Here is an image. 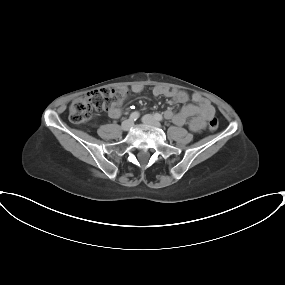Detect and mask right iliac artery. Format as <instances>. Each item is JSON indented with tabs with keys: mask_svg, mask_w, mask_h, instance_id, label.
<instances>
[{
	"mask_svg": "<svg viewBox=\"0 0 285 285\" xmlns=\"http://www.w3.org/2000/svg\"><path fill=\"white\" fill-rule=\"evenodd\" d=\"M140 114L138 112H133L131 115H130V120L132 121H136L138 118H139Z\"/></svg>",
	"mask_w": 285,
	"mask_h": 285,
	"instance_id": "1",
	"label": "right iliac artery"
}]
</instances>
